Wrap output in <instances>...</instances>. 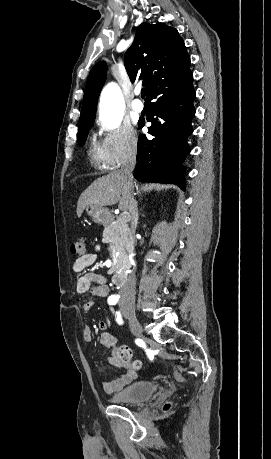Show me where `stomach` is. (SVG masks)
I'll use <instances>...</instances> for the list:
<instances>
[{
	"instance_id": "0dacf381",
	"label": "stomach",
	"mask_w": 271,
	"mask_h": 459,
	"mask_svg": "<svg viewBox=\"0 0 271 459\" xmlns=\"http://www.w3.org/2000/svg\"><path fill=\"white\" fill-rule=\"evenodd\" d=\"M84 212L87 216H91L93 222L96 224H110L113 220V216L107 208H102L98 204H91V206H85Z\"/></svg>"
}]
</instances>
